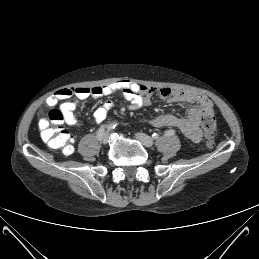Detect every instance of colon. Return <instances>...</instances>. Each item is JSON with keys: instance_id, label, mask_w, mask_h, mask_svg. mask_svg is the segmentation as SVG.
Here are the masks:
<instances>
[{"instance_id": "colon-1", "label": "colon", "mask_w": 259, "mask_h": 259, "mask_svg": "<svg viewBox=\"0 0 259 259\" xmlns=\"http://www.w3.org/2000/svg\"><path fill=\"white\" fill-rule=\"evenodd\" d=\"M65 117L61 109H51L39 122L41 136L52 148L60 149L64 154L73 152V138L63 127ZM208 147L213 146V137L216 129L214 116H207L202 121Z\"/></svg>"}]
</instances>
